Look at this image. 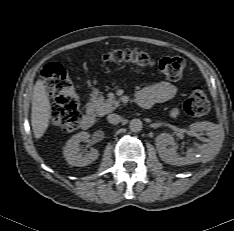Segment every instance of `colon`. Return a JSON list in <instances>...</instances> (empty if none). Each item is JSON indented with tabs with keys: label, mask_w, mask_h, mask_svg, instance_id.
Segmentation results:
<instances>
[{
	"label": "colon",
	"mask_w": 234,
	"mask_h": 231,
	"mask_svg": "<svg viewBox=\"0 0 234 231\" xmlns=\"http://www.w3.org/2000/svg\"><path fill=\"white\" fill-rule=\"evenodd\" d=\"M103 61L112 64L129 65L143 71L152 67L157 69L170 81L182 78L186 62L181 56L153 59L145 52L114 50L103 55ZM47 93L54 99L51 121L65 132L78 128L81 121V105L76 88L66 69L59 63H49L42 71ZM184 110L191 116H201L209 111V101L204 90L194 87L184 104Z\"/></svg>",
	"instance_id": "obj_1"
}]
</instances>
